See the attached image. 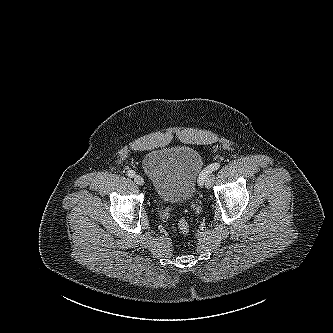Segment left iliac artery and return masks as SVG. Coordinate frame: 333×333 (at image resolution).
I'll list each match as a JSON object with an SVG mask.
<instances>
[{
	"label": "left iliac artery",
	"mask_w": 333,
	"mask_h": 333,
	"mask_svg": "<svg viewBox=\"0 0 333 333\" xmlns=\"http://www.w3.org/2000/svg\"><path fill=\"white\" fill-rule=\"evenodd\" d=\"M219 168H220V164H219V163H213V164L207 166V167L203 170L202 174H200V177H199V183H200V185H203V182L205 181L206 176H207L210 172L215 171V170H218Z\"/></svg>",
	"instance_id": "1"
}]
</instances>
